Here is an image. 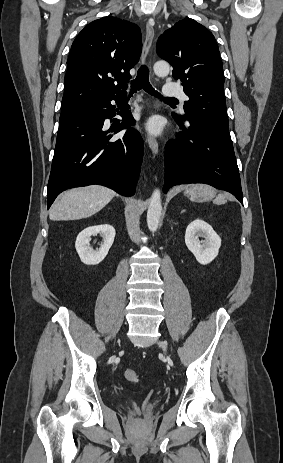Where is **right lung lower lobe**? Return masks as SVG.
<instances>
[{"label":"right lung lower lobe","mask_w":283,"mask_h":463,"mask_svg":"<svg viewBox=\"0 0 283 463\" xmlns=\"http://www.w3.org/2000/svg\"><path fill=\"white\" fill-rule=\"evenodd\" d=\"M124 96L125 92L97 98L61 114L48 182V208L58 194L73 187L99 184L121 195L135 193L143 140L132 128L119 133L135 123ZM112 100L120 107L123 121L115 120L108 129L106 119L115 116Z\"/></svg>","instance_id":"98d812e1"}]
</instances>
